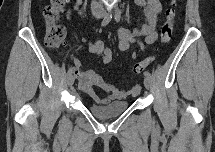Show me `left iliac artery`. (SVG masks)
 <instances>
[{"mask_svg":"<svg viewBox=\"0 0 215 152\" xmlns=\"http://www.w3.org/2000/svg\"><path fill=\"white\" fill-rule=\"evenodd\" d=\"M120 18H121V11L117 10L116 13H115V20L118 22V21H120ZM142 75L151 77V74L148 71H143Z\"/></svg>","mask_w":215,"mask_h":152,"instance_id":"1","label":"left iliac artery"}]
</instances>
